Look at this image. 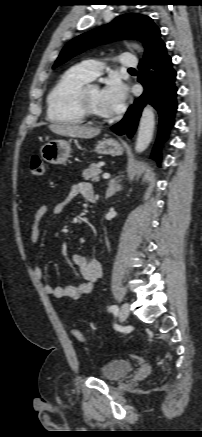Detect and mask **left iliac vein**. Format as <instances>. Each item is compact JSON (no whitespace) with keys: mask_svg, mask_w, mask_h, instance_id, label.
<instances>
[{"mask_svg":"<svg viewBox=\"0 0 202 437\" xmlns=\"http://www.w3.org/2000/svg\"><path fill=\"white\" fill-rule=\"evenodd\" d=\"M130 313V306L128 303H124L119 312V318L121 321H125Z\"/></svg>","mask_w":202,"mask_h":437,"instance_id":"1","label":"left iliac vein"}]
</instances>
